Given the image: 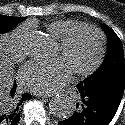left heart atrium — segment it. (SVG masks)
Returning a JSON list of instances; mask_svg holds the SVG:
<instances>
[{"mask_svg":"<svg viewBox=\"0 0 125 125\" xmlns=\"http://www.w3.org/2000/svg\"><path fill=\"white\" fill-rule=\"evenodd\" d=\"M72 72L62 57L48 61L32 60L21 68L19 80L21 85L28 90L38 94H47L69 82Z\"/></svg>","mask_w":125,"mask_h":125,"instance_id":"obj_1","label":"left heart atrium"}]
</instances>
